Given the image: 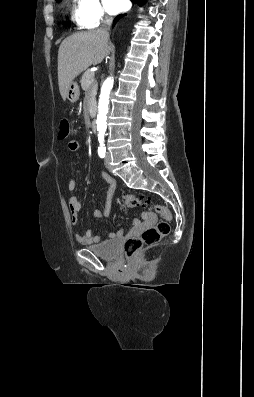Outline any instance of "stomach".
<instances>
[{"label":"stomach","instance_id":"obj_1","mask_svg":"<svg viewBox=\"0 0 254 397\" xmlns=\"http://www.w3.org/2000/svg\"><path fill=\"white\" fill-rule=\"evenodd\" d=\"M79 96H80L79 85L77 82L72 81L68 86L66 98L68 99L69 102L75 103L79 99Z\"/></svg>","mask_w":254,"mask_h":397}]
</instances>
